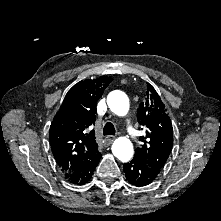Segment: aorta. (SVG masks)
Wrapping results in <instances>:
<instances>
[{"label":"aorta","instance_id":"762f6f07","mask_svg":"<svg viewBox=\"0 0 221 221\" xmlns=\"http://www.w3.org/2000/svg\"><path fill=\"white\" fill-rule=\"evenodd\" d=\"M110 110L118 116H125L129 110L128 96L119 90L112 91L107 97ZM112 153L122 162H128L133 156V144L126 137L117 138L112 145Z\"/></svg>","mask_w":221,"mask_h":221}]
</instances>
